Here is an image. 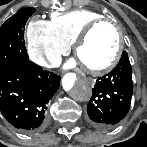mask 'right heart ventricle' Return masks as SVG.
I'll return each instance as SVG.
<instances>
[{"label": "right heart ventricle", "instance_id": "e07e8e85", "mask_svg": "<svg viewBox=\"0 0 147 147\" xmlns=\"http://www.w3.org/2000/svg\"><path fill=\"white\" fill-rule=\"evenodd\" d=\"M101 15L90 10H74L67 13H53L50 21L51 31L65 45L72 44L79 33Z\"/></svg>", "mask_w": 147, "mask_h": 147}]
</instances>
